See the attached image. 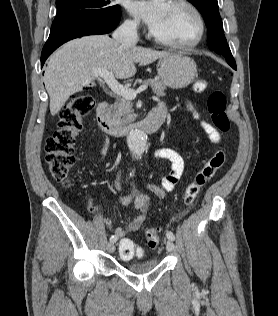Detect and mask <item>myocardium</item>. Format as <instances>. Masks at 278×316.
<instances>
[{
    "label": "myocardium",
    "instance_id": "obj_1",
    "mask_svg": "<svg viewBox=\"0 0 278 316\" xmlns=\"http://www.w3.org/2000/svg\"><path fill=\"white\" fill-rule=\"evenodd\" d=\"M170 4L183 7L192 15L196 23V32H195L194 37L190 39L189 41H185V42H172V41H167V40L157 37L151 31L149 34L150 38L156 44L164 46V47L172 48V49L188 50V49H192L196 47L203 39V36L205 33V23L200 11L189 0H171Z\"/></svg>",
    "mask_w": 278,
    "mask_h": 316
}]
</instances>
